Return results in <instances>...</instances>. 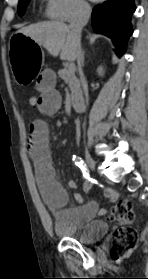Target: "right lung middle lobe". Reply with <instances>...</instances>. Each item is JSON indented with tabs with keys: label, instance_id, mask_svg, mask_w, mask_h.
<instances>
[{
	"label": "right lung middle lobe",
	"instance_id": "right-lung-middle-lobe-1",
	"mask_svg": "<svg viewBox=\"0 0 148 279\" xmlns=\"http://www.w3.org/2000/svg\"><path fill=\"white\" fill-rule=\"evenodd\" d=\"M30 0H20L18 4V14L22 16Z\"/></svg>",
	"mask_w": 148,
	"mask_h": 279
}]
</instances>
